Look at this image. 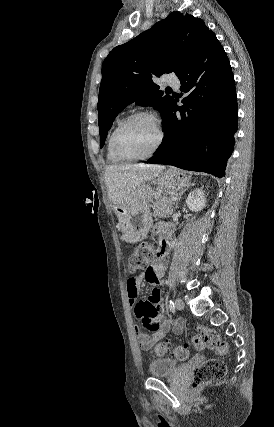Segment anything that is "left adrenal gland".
<instances>
[{"label": "left adrenal gland", "mask_w": 274, "mask_h": 427, "mask_svg": "<svg viewBox=\"0 0 274 427\" xmlns=\"http://www.w3.org/2000/svg\"><path fill=\"white\" fill-rule=\"evenodd\" d=\"M187 188H189V186H187ZM184 192H186V190H182V192H180L179 196H177L175 208H177V206L179 204V200H180L181 196H183Z\"/></svg>", "instance_id": "left-adrenal-gland-1"}]
</instances>
